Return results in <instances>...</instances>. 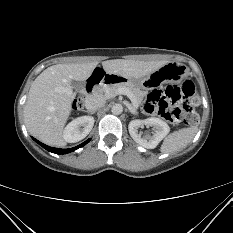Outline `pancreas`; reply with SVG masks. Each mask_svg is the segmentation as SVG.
Wrapping results in <instances>:
<instances>
[{
  "instance_id": "cf45deb5",
  "label": "pancreas",
  "mask_w": 233,
  "mask_h": 233,
  "mask_svg": "<svg viewBox=\"0 0 233 233\" xmlns=\"http://www.w3.org/2000/svg\"><path fill=\"white\" fill-rule=\"evenodd\" d=\"M120 88H126L128 89L133 95H134V101L133 105L134 107H138V105L141 103L143 97L145 96V92L140 90L137 87H131L126 84H115V85H109L104 87V93L107 98L114 97L117 93V90Z\"/></svg>"
}]
</instances>
